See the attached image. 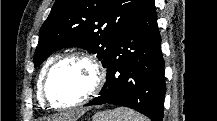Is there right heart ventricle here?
I'll return each mask as SVG.
<instances>
[{
    "mask_svg": "<svg viewBox=\"0 0 217 121\" xmlns=\"http://www.w3.org/2000/svg\"><path fill=\"white\" fill-rule=\"evenodd\" d=\"M58 58V55H53L51 57H49L47 59V61L45 62V64L43 65L42 67V70L40 72V75H39V79H38V88H39V91H38V101L42 104V105H46V102L42 96V92H41V87H42V82H43V79H44V76L47 72V70L49 69V67L51 66V64Z\"/></svg>",
    "mask_w": 217,
    "mask_h": 121,
    "instance_id": "e07e8e85",
    "label": "right heart ventricle"
}]
</instances>
